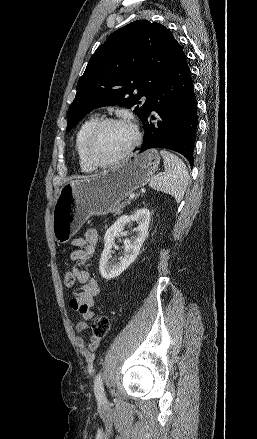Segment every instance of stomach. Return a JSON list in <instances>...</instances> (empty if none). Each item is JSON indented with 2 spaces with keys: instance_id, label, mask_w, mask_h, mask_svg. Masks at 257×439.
Here are the masks:
<instances>
[{
  "instance_id": "1",
  "label": "stomach",
  "mask_w": 257,
  "mask_h": 439,
  "mask_svg": "<svg viewBox=\"0 0 257 439\" xmlns=\"http://www.w3.org/2000/svg\"><path fill=\"white\" fill-rule=\"evenodd\" d=\"M160 164L156 149L134 153L100 174L64 183L52 210L58 243H67L93 215H106L134 190L146 185Z\"/></svg>"
}]
</instances>
